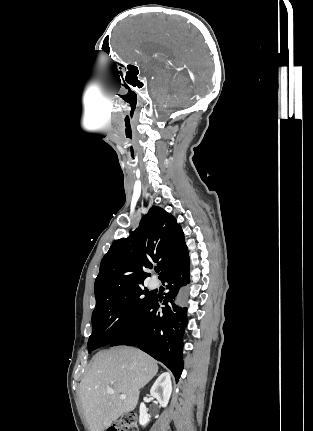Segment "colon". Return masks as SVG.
<instances>
[{
	"mask_svg": "<svg viewBox=\"0 0 313 431\" xmlns=\"http://www.w3.org/2000/svg\"><path fill=\"white\" fill-rule=\"evenodd\" d=\"M108 431H138L137 417L134 413L121 416Z\"/></svg>",
	"mask_w": 313,
	"mask_h": 431,
	"instance_id": "obj_1",
	"label": "colon"
}]
</instances>
